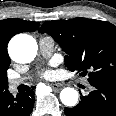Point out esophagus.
I'll return each instance as SVG.
<instances>
[{
	"mask_svg": "<svg viewBox=\"0 0 116 116\" xmlns=\"http://www.w3.org/2000/svg\"><path fill=\"white\" fill-rule=\"evenodd\" d=\"M49 86L52 87L56 91H58L62 88V86L60 84H56V83H51V84H49Z\"/></svg>",
	"mask_w": 116,
	"mask_h": 116,
	"instance_id": "obj_1",
	"label": "esophagus"
}]
</instances>
